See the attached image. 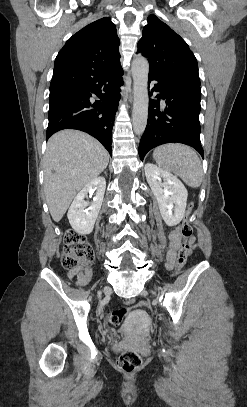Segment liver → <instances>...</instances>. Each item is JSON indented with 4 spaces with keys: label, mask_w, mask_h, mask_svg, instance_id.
Wrapping results in <instances>:
<instances>
[{
    "label": "liver",
    "mask_w": 247,
    "mask_h": 407,
    "mask_svg": "<svg viewBox=\"0 0 247 407\" xmlns=\"http://www.w3.org/2000/svg\"><path fill=\"white\" fill-rule=\"evenodd\" d=\"M108 162L106 149L84 132L67 129L48 140L44 157V193L55 222L62 219L75 195L97 178Z\"/></svg>",
    "instance_id": "obj_1"
}]
</instances>
